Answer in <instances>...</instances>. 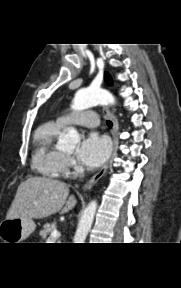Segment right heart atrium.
<instances>
[{
    "instance_id": "d8ad5b80",
    "label": "right heart atrium",
    "mask_w": 181,
    "mask_h": 288,
    "mask_svg": "<svg viewBox=\"0 0 181 288\" xmlns=\"http://www.w3.org/2000/svg\"><path fill=\"white\" fill-rule=\"evenodd\" d=\"M76 162L71 156H66V163L63 172L61 173L62 176H69L71 172L76 169Z\"/></svg>"
}]
</instances>
